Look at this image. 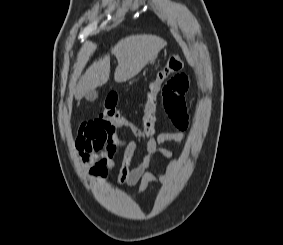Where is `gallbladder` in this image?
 Returning <instances> with one entry per match:
<instances>
[{
	"mask_svg": "<svg viewBox=\"0 0 283 245\" xmlns=\"http://www.w3.org/2000/svg\"><path fill=\"white\" fill-rule=\"evenodd\" d=\"M98 97V93L95 90H90L85 94V98L88 101H94Z\"/></svg>",
	"mask_w": 283,
	"mask_h": 245,
	"instance_id": "gallbladder-1",
	"label": "gallbladder"
}]
</instances>
